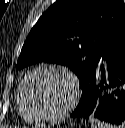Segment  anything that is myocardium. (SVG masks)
Segmentation results:
<instances>
[{
    "instance_id": "myocardium-1",
    "label": "myocardium",
    "mask_w": 125,
    "mask_h": 128,
    "mask_svg": "<svg viewBox=\"0 0 125 128\" xmlns=\"http://www.w3.org/2000/svg\"><path fill=\"white\" fill-rule=\"evenodd\" d=\"M40 71H50V72H56L64 76L71 84L72 87V96L69 100V102L64 106L61 110L58 112L52 113V114H36L33 111L30 110V108L27 105L26 96H25V90L26 86L28 84V81L30 78ZM20 105L24 112V114L31 120L38 123H49V122H56L63 117H65L67 114H69L77 105L78 100L80 98V85L76 79V77L66 68L57 66V65H39L30 70L24 79L22 80L20 87Z\"/></svg>"
}]
</instances>
